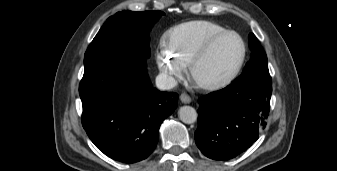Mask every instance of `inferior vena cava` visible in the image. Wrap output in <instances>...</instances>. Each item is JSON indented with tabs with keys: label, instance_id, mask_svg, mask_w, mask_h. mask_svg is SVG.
<instances>
[{
	"label": "inferior vena cava",
	"instance_id": "inferior-vena-cava-1",
	"mask_svg": "<svg viewBox=\"0 0 337 171\" xmlns=\"http://www.w3.org/2000/svg\"><path fill=\"white\" fill-rule=\"evenodd\" d=\"M176 85L177 80L168 74L160 73L156 77V86L160 90H170L174 88Z\"/></svg>",
	"mask_w": 337,
	"mask_h": 171
}]
</instances>
